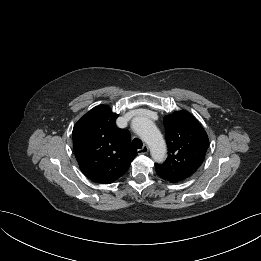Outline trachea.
I'll return each mask as SVG.
<instances>
[{
	"instance_id": "obj_1",
	"label": "trachea",
	"mask_w": 261,
	"mask_h": 261,
	"mask_svg": "<svg viewBox=\"0 0 261 261\" xmlns=\"http://www.w3.org/2000/svg\"><path fill=\"white\" fill-rule=\"evenodd\" d=\"M132 145L134 148L141 149L142 148V141L138 138H134L132 141Z\"/></svg>"
}]
</instances>
